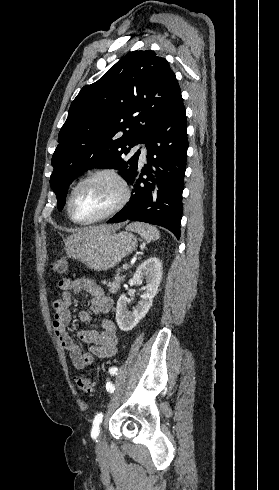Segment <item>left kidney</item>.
<instances>
[{
  "instance_id": "5707ae66",
  "label": "left kidney",
  "mask_w": 279,
  "mask_h": 490,
  "mask_svg": "<svg viewBox=\"0 0 279 490\" xmlns=\"http://www.w3.org/2000/svg\"><path fill=\"white\" fill-rule=\"evenodd\" d=\"M162 270V262H160L159 258H149V260H145L138 266L132 280H129V284L130 286H141L143 280H145L146 286L141 288L143 290V294L140 296L141 300L135 308H132V312H128L126 294H122L117 300L116 322L122 332L133 330L140 320L148 314L153 304V298L158 294L163 274Z\"/></svg>"
}]
</instances>
